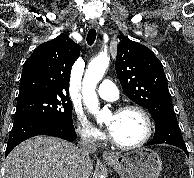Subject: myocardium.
<instances>
[{
	"mask_svg": "<svg viewBox=\"0 0 194 178\" xmlns=\"http://www.w3.org/2000/svg\"><path fill=\"white\" fill-rule=\"evenodd\" d=\"M127 111H136L138 112L143 119L145 120L146 123V133L144 135V137L137 143L134 144H123L120 143L119 141H117L114 136L110 133L109 134V139L111 141V143L120 148V149H125V150H129V149H136V148H140L142 146H144L152 137L153 135V121L152 118L150 116V114L141 106L139 105H124L121 106L119 108H117L115 110V114H121Z\"/></svg>",
	"mask_w": 194,
	"mask_h": 178,
	"instance_id": "f54148a6",
	"label": "myocardium"
}]
</instances>
